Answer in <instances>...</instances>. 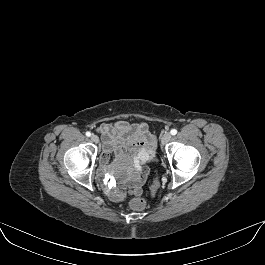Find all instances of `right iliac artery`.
Listing matches in <instances>:
<instances>
[{"mask_svg": "<svg viewBox=\"0 0 265 265\" xmlns=\"http://www.w3.org/2000/svg\"><path fill=\"white\" fill-rule=\"evenodd\" d=\"M86 136L90 137L91 133L89 131L86 132Z\"/></svg>", "mask_w": 265, "mask_h": 265, "instance_id": "1", "label": "right iliac artery"}]
</instances>
